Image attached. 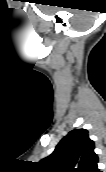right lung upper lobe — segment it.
Here are the masks:
<instances>
[{
    "label": "right lung upper lobe",
    "mask_w": 106,
    "mask_h": 172,
    "mask_svg": "<svg viewBox=\"0 0 106 172\" xmlns=\"http://www.w3.org/2000/svg\"><path fill=\"white\" fill-rule=\"evenodd\" d=\"M94 142L86 129L70 131L49 156L40 161L43 172H101Z\"/></svg>",
    "instance_id": "right-lung-upper-lobe-1"
}]
</instances>
